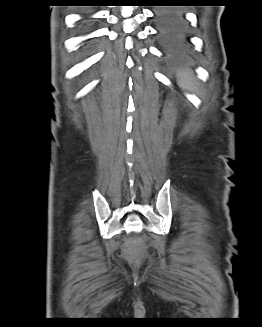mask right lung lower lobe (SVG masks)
Masks as SVG:
<instances>
[{
  "label": "right lung lower lobe",
  "mask_w": 262,
  "mask_h": 327,
  "mask_svg": "<svg viewBox=\"0 0 262 327\" xmlns=\"http://www.w3.org/2000/svg\"><path fill=\"white\" fill-rule=\"evenodd\" d=\"M91 19H92V18L85 17L84 19H82V22H84V24H88V23L91 22Z\"/></svg>",
  "instance_id": "obj_1"
}]
</instances>
